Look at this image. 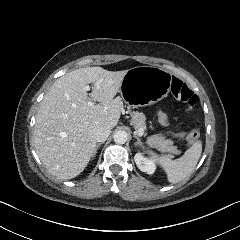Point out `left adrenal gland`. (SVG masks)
<instances>
[{"label":"left adrenal gland","mask_w":240,"mask_h":240,"mask_svg":"<svg viewBox=\"0 0 240 240\" xmlns=\"http://www.w3.org/2000/svg\"><path fill=\"white\" fill-rule=\"evenodd\" d=\"M133 137L137 140L135 142L136 145L137 144H142V145L144 144L143 141L141 140V138L138 135L134 134Z\"/></svg>","instance_id":"a2214340"}]
</instances>
